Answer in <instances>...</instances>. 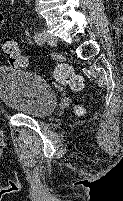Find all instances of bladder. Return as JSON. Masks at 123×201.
<instances>
[{"label":"bladder","instance_id":"obj_1","mask_svg":"<svg viewBox=\"0 0 123 201\" xmlns=\"http://www.w3.org/2000/svg\"><path fill=\"white\" fill-rule=\"evenodd\" d=\"M0 101L22 115L44 118L54 111L58 97L40 75L0 66Z\"/></svg>","mask_w":123,"mask_h":201}]
</instances>
